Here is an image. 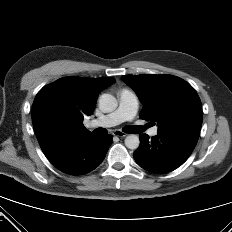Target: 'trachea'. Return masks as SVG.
I'll list each match as a JSON object with an SVG mask.
<instances>
[{"mask_svg":"<svg viewBox=\"0 0 232 232\" xmlns=\"http://www.w3.org/2000/svg\"><path fill=\"white\" fill-rule=\"evenodd\" d=\"M144 130L141 126H127L123 129L126 133H141ZM106 131L103 128H98V134H105Z\"/></svg>","mask_w":232,"mask_h":232,"instance_id":"obj_1","label":"trachea"}]
</instances>
